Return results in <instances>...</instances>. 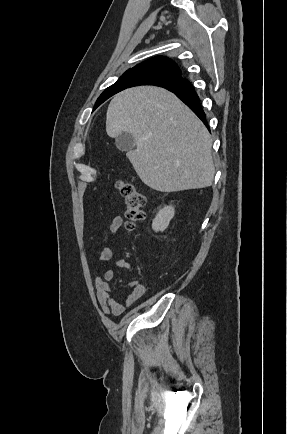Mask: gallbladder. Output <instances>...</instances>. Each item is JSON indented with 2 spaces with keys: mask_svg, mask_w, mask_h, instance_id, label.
<instances>
[{
  "mask_svg": "<svg viewBox=\"0 0 287 434\" xmlns=\"http://www.w3.org/2000/svg\"><path fill=\"white\" fill-rule=\"evenodd\" d=\"M115 145L120 151H132L136 145L134 136L128 132H122L115 139Z\"/></svg>",
  "mask_w": 287,
  "mask_h": 434,
  "instance_id": "bac80fb5",
  "label": "gallbladder"
}]
</instances>
